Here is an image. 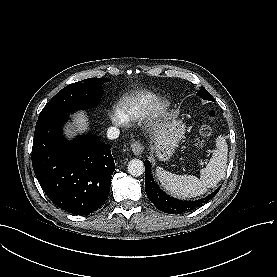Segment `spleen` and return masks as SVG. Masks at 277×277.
<instances>
[{
    "mask_svg": "<svg viewBox=\"0 0 277 277\" xmlns=\"http://www.w3.org/2000/svg\"><path fill=\"white\" fill-rule=\"evenodd\" d=\"M227 143L223 136L216 139L214 151L206 168L201 169L200 178L193 175H176L156 168V176L161 185L170 194L179 198H191L200 196L213 188L224 177L227 168Z\"/></svg>",
    "mask_w": 277,
    "mask_h": 277,
    "instance_id": "obj_1",
    "label": "spleen"
}]
</instances>
